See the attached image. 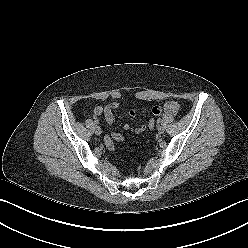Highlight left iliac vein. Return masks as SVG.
Here are the masks:
<instances>
[{"label":"left iliac vein","instance_id":"obj_1","mask_svg":"<svg viewBox=\"0 0 248 248\" xmlns=\"http://www.w3.org/2000/svg\"><path fill=\"white\" fill-rule=\"evenodd\" d=\"M157 130H158V133L159 134H163L164 133V131H165V128L163 127V126H158V128H157Z\"/></svg>","mask_w":248,"mask_h":248}]
</instances>
